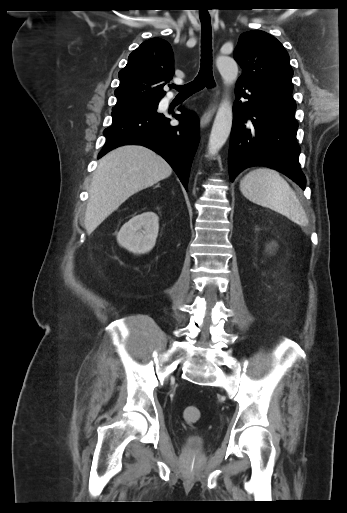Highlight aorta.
I'll return each instance as SVG.
<instances>
[{"instance_id": "obj_1", "label": "aorta", "mask_w": 347, "mask_h": 513, "mask_svg": "<svg viewBox=\"0 0 347 513\" xmlns=\"http://www.w3.org/2000/svg\"><path fill=\"white\" fill-rule=\"evenodd\" d=\"M216 66L227 88L236 82L238 77V65L234 59L221 55L216 60ZM232 122V103L226 93L218 107L209 137V156H214L226 143L232 129Z\"/></svg>"}]
</instances>
